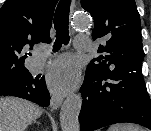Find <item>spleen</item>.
Wrapping results in <instances>:
<instances>
[{
	"mask_svg": "<svg viewBox=\"0 0 151 131\" xmlns=\"http://www.w3.org/2000/svg\"><path fill=\"white\" fill-rule=\"evenodd\" d=\"M108 131H143V129L132 124H116L110 126Z\"/></svg>",
	"mask_w": 151,
	"mask_h": 131,
	"instance_id": "1",
	"label": "spleen"
}]
</instances>
